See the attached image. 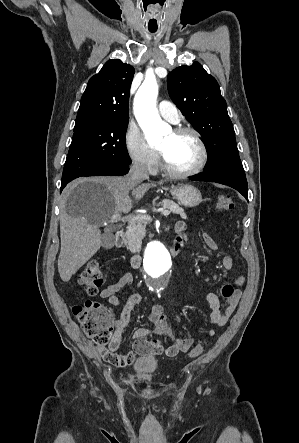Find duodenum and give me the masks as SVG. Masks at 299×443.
Wrapping results in <instances>:
<instances>
[{
  "label": "duodenum",
  "instance_id": "1",
  "mask_svg": "<svg viewBox=\"0 0 299 443\" xmlns=\"http://www.w3.org/2000/svg\"><path fill=\"white\" fill-rule=\"evenodd\" d=\"M122 244H123V230H118L116 232V236H115V245L117 247H121ZM182 248H183V245L181 243L175 241L174 244L170 248V254L172 256H177L182 251ZM130 263L134 269L140 268L141 263H142L141 256L139 254L132 255Z\"/></svg>",
  "mask_w": 299,
  "mask_h": 443
}]
</instances>
